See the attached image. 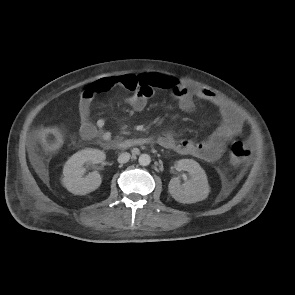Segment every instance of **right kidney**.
<instances>
[{
    "instance_id": "obj_1",
    "label": "right kidney",
    "mask_w": 295,
    "mask_h": 295,
    "mask_svg": "<svg viewBox=\"0 0 295 295\" xmlns=\"http://www.w3.org/2000/svg\"><path fill=\"white\" fill-rule=\"evenodd\" d=\"M105 160V153L97 149H84L71 156L63 168L62 185L75 195H86L96 190L102 182L98 172H92L85 177V163L98 164Z\"/></svg>"
}]
</instances>
